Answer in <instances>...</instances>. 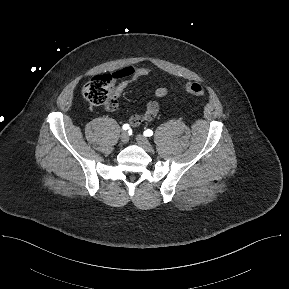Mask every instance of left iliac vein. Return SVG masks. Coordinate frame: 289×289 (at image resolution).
I'll return each mask as SVG.
<instances>
[{"mask_svg": "<svg viewBox=\"0 0 289 289\" xmlns=\"http://www.w3.org/2000/svg\"><path fill=\"white\" fill-rule=\"evenodd\" d=\"M136 141L138 143L139 146H141L146 152H152L153 151V147L151 145V143L149 142V140L143 136V135H137L136 136Z\"/></svg>", "mask_w": 289, "mask_h": 289, "instance_id": "4c4485c4", "label": "left iliac vein"}]
</instances>
